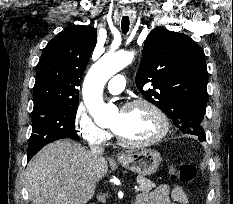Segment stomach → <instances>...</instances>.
<instances>
[{"instance_id":"obj_1","label":"stomach","mask_w":233,"mask_h":204,"mask_svg":"<svg viewBox=\"0 0 233 204\" xmlns=\"http://www.w3.org/2000/svg\"><path fill=\"white\" fill-rule=\"evenodd\" d=\"M119 162L123 167L139 176H149L158 170L162 157L156 150L142 149L123 155L119 158Z\"/></svg>"}]
</instances>
